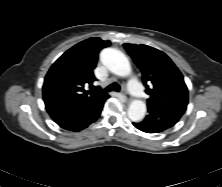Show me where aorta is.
<instances>
[{
	"label": "aorta",
	"instance_id": "1",
	"mask_svg": "<svg viewBox=\"0 0 222 187\" xmlns=\"http://www.w3.org/2000/svg\"><path fill=\"white\" fill-rule=\"evenodd\" d=\"M101 63L112 73L126 77L131 73L130 62L127 57L115 48H105L100 53ZM146 104L142 100H133L128 108V117L133 122L144 119Z\"/></svg>",
	"mask_w": 222,
	"mask_h": 187
}]
</instances>
